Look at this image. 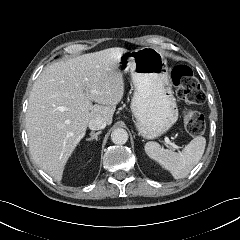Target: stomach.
Returning <instances> with one entry per match:
<instances>
[{"label":"stomach","mask_w":240,"mask_h":240,"mask_svg":"<svg viewBox=\"0 0 240 240\" xmlns=\"http://www.w3.org/2000/svg\"><path fill=\"white\" fill-rule=\"evenodd\" d=\"M118 67L122 73L131 75L134 86L131 111L139 135L146 139L161 136L178 119L165 56L151 47L127 50L120 55Z\"/></svg>","instance_id":"0dacf381"}]
</instances>
